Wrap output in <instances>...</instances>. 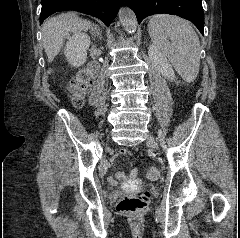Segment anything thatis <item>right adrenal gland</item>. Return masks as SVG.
Returning <instances> with one entry per match:
<instances>
[{"label":"right adrenal gland","mask_w":240,"mask_h":238,"mask_svg":"<svg viewBox=\"0 0 240 238\" xmlns=\"http://www.w3.org/2000/svg\"><path fill=\"white\" fill-rule=\"evenodd\" d=\"M91 31H92L91 35L93 37H99L100 40L102 39L101 31L97 25H93V27H91Z\"/></svg>","instance_id":"obj_1"}]
</instances>
